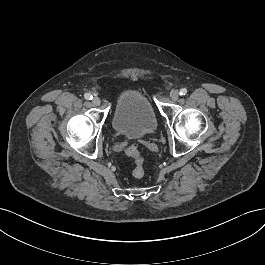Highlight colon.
Returning a JSON list of instances; mask_svg holds the SVG:
<instances>
[{"label": "colon", "instance_id": "colon-1", "mask_svg": "<svg viewBox=\"0 0 265 265\" xmlns=\"http://www.w3.org/2000/svg\"><path fill=\"white\" fill-rule=\"evenodd\" d=\"M128 156L133 158V168H132V175L135 178H142L145 175L146 168L144 159L138 149L137 144H133L129 146L126 150Z\"/></svg>", "mask_w": 265, "mask_h": 265}]
</instances>
